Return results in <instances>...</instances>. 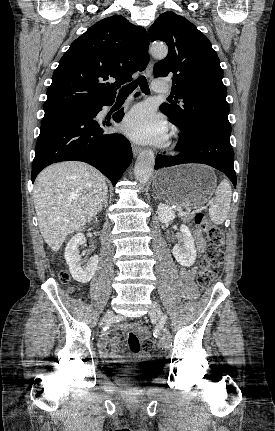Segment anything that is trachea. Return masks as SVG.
I'll list each match as a JSON object with an SVG mask.
<instances>
[{"mask_svg":"<svg viewBox=\"0 0 275 431\" xmlns=\"http://www.w3.org/2000/svg\"><path fill=\"white\" fill-rule=\"evenodd\" d=\"M140 86L141 90L143 93L145 94H149L150 93V89H149V85L148 82L145 78V76H139L136 80H134L133 82H131L130 84L124 86L120 91H119V95L118 97H125L128 96L130 93L133 92V90L137 87Z\"/></svg>","mask_w":275,"mask_h":431,"instance_id":"trachea-1","label":"trachea"}]
</instances>
